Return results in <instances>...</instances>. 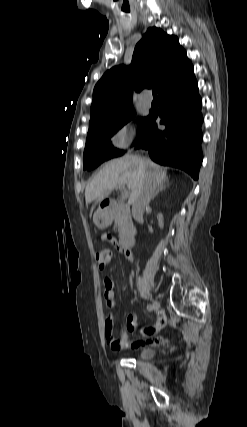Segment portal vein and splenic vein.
Masks as SVG:
<instances>
[{"label":"portal vein and splenic vein","instance_id":"1","mask_svg":"<svg viewBox=\"0 0 247 427\" xmlns=\"http://www.w3.org/2000/svg\"><path fill=\"white\" fill-rule=\"evenodd\" d=\"M128 196V191L123 190L122 192V198H126Z\"/></svg>","mask_w":247,"mask_h":427}]
</instances>
